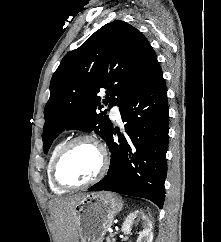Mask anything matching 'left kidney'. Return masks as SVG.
Segmentation results:
<instances>
[{
	"label": "left kidney",
	"instance_id": "obj_1",
	"mask_svg": "<svg viewBox=\"0 0 221 242\" xmlns=\"http://www.w3.org/2000/svg\"><path fill=\"white\" fill-rule=\"evenodd\" d=\"M136 219L137 221H143V230L139 232L137 242H152V222L142 211H134L127 216L122 225V232L124 234H131V224H133Z\"/></svg>",
	"mask_w": 221,
	"mask_h": 242
}]
</instances>
